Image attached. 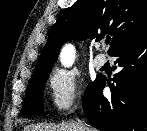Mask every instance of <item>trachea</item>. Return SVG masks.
Returning a JSON list of instances; mask_svg holds the SVG:
<instances>
[{
  "instance_id": "trachea-1",
  "label": "trachea",
  "mask_w": 147,
  "mask_h": 131,
  "mask_svg": "<svg viewBox=\"0 0 147 131\" xmlns=\"http://www.w3.org/2000/svg\"><path fill=\"white\" fill-rule=\"evenodd\" d=\"M109 43V40H106V44H108Z\"/></svg>"
}]
</instances>
